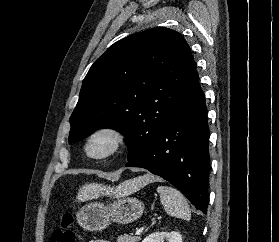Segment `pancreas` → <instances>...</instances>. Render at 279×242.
<instances>
[{
  "mask_svg": "<svg viewBox=\"0 0 279 242\" xmlns=\"http://www.w3.org/2000/svg\"><path fill=\"white\" fill-rule=\"evenodd\" d=\"M140 237L131 235H120L117 238V242H138Z\"/></svg>",
  "mask_w": 279,
  "mask_h": 242,
  "instance_id": "obj_1",
  "label": "pancreas"
}]
</instances>
